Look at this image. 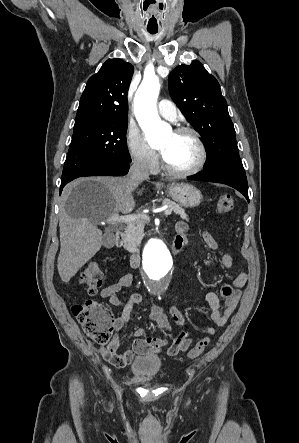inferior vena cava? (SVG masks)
Masks as SVG:
<instances>
[{"instance_id": "1", "label": "inferior vena cava", "mask_w": 299, "mask_h": 443, "mask_svg": "<svg viewBox=\"0 0 299 443\" xmlns=\"http://www.w3.org/2000/svg\"><path fill=\"white\" fill-rule=\"evenodd\" d=\"M147 179H149L147 162L143 159L135 160L128 174L127 187L129 192L133 191L142 181Z\"/></svg>"}]
</instances>
